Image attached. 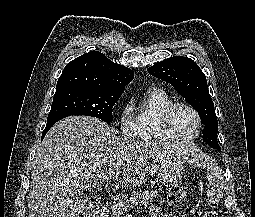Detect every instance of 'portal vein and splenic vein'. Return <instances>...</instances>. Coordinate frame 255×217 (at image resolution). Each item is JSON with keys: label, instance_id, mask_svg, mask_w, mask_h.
Masks as SVG:
<instances>
[{"label": "portal vein and splenic vein", "instance_id": "18ae733b", "mask_svg": "<svg viewBox=\"0 0 255 217\" xmlns=\"http://www.w3.org/2000/svg\"><path fill=\"white\" fill-rule=\"evenodd\" d=\"M114 176L113 173H110L109 175L106 176L105 180H110ZM130 216V215H128Z\"/></svg>", "mask_w": 255, "mask_h": 217}]
</instances>
